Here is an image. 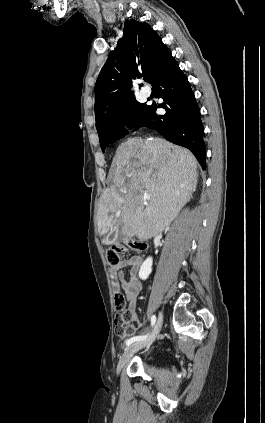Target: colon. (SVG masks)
<instances>
[{"label":"colon","mask_w":265,"mask_h":423,"mask_svg":"<svg viewBox=\"0 0 265 423\" xmlns=\"http://www.w3.org/2000/svg\"><path fill=\"white\" fill-rule=\"evenodd\" d=\"M134 251H143L145 244L137 240H125L115 242L106 251V261L110 266H115L120 263L121 255L127 251V249ZM115 307L120 312L115 320V331L119 336H124L133 330V314L126 311L125 299L120 292L115 294Z\"/></svg>","instance_id":"1"}]
</instances>
